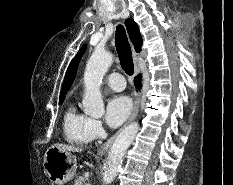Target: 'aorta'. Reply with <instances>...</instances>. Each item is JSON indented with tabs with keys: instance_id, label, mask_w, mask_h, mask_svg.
<instances>
[{
	"instance_id": "762f6f07",
	"label": "aorta",
	"mask_w": 233,
	"mask_h": 185,
	"mask_svg": "<svg viewBox=\"0 0 233 185\" xmlns=\"http://www.w3.org/2000/svg\"><path fill=\"white\" fill-rule=\"evenodd\" d=\"M112 62V54L98 48L93 52L86 65L84 73L85 93L82 103L85 114L91 117L100 118L104 114L100 83ZM138 131L139 124L134 122L125 127L115 139L104 169V184H111L117 176L125 152L135 139Z\"/></svg>"
}]
</instances>
